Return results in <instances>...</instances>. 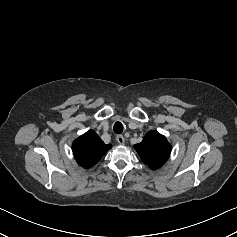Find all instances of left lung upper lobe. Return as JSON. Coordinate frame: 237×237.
<instances>
[{
    "instance_id": "1",
    "label": "left lung upper lobe",
    "mask_w": 237,
    "mask_h": 237,
    "mask_svg": "<svg viewBox=\"0 0 237 237\" xmlns=\"http://www.w3.org/2000/svg\"><path fill=\"white\" fill-rule=\"evenodd\" d=\"M134 147L141 160L151 169L161 167L167 161L171 152V145L166 137L157 131L148 132L142 142Z\"/></svg>"
}]
</instances>
